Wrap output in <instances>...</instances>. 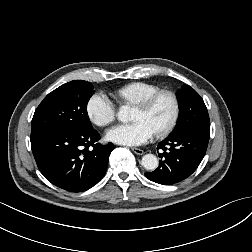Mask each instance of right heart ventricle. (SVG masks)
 Masks as SVG:
<instances>
[{
  "instance_id": "right-heart-ventricle-1",
  "label": "right heart ventricle",
  "mask_w": 252,
  "mask_h": 252,
  "mask_svg": "<svg viewBox=\"0 0 252 252\" xmlns=\"http://www.w3.org/2000/svg\"><path fill=\"white\" fill-rule=\"evenodd\" d=\"M160 90L157 85L151 83L133 82L116 90L114 96L123 102L137 105Z\"/></svg>"
}]
</instances>
